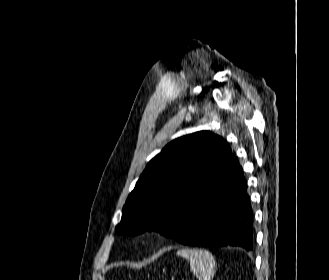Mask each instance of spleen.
Returning a JSON list of instances; mask_svg holds the SVG:
<instances>
[{
  "label": "spleen",
  "mask_w": 329,
  "mask_h": 280,
  "mask_svg": "<svg viewBox=\"0 0 329 280\" xmlns=\"http://www.w3.org/2000/svg\"><path fill=\"white\" fill-rule=\"evenodd\" d=\"M190 263V270L199 273V280H211L215 275L216 261L213 255L203 249H182L176 253Z\"/></svg>",
  "instance_id": "1"
}]
</instances>
